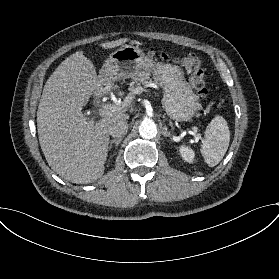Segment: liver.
<instances>
[{"label": "liver", "mask_w": 279, "mask_h": 279, "mask_svg": "<svg viewBox=\"0 0 279 279\" xmlns=\"http://www.w3.org/2000/svg\"><path fill=\"white\" fill-rule=\"evenodd\" d=\"M129 41L120 38L101 43L112 49ZM109 79L97 76L94 65L77 51L67 57L46 81L37 110V131L48 165L65 180L88 184L101 178L108 155V129L128 114L115 112L89 120L84 107Z\"/></svg>", "instance_id": "6515ba94"}]
</instances>
